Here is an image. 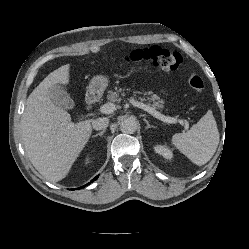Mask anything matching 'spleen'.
Wrapping results in <instances>:
<instances>
[{"instance_id":"obj_1","label":"spleen","mask_w":249,"mask_h":249,"mask_svg":"<svg viewBox=\"0 0 249 249\" xmlns=\"http://www.w3.org/2000/svg\"><path fill=\"white\" fill-rule=\"evenodd\" d=\"M172 143L194 164H206L219 144V131L212 111H207L186 133L174 134Z\"/></svg>"}]
</instances>
